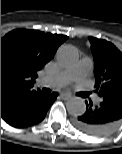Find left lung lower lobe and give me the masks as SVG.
I'll return each instance as SVG.
<instances>
[{"mask_svg": "<svg viewBox=\"0 0 122 154\" xmlns=\"http://www.w3.org/2000/svg\"><path fill=\"white\" fill-rule=\"evenodd\" d=\"M86 104V112L74 120V126L88 135L106 134L122 120V92L103 96L98 106Z\"/></svg>", "mask_w": 122, "mask_h": 154, "instance_id": "0a47b994", "label": "left lung lower lobe"}]
</instances>
